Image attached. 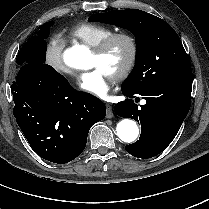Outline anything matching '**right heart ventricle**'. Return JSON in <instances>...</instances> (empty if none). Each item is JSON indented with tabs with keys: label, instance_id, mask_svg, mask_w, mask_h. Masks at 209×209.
Returning <instances> with one entry per match:
<instances>
[{
	"label": "right heart ventricle",
	"instance_id": "right-heart-ventricle-1",
	"mask_svg": "<svg viewBox=\"0 0 209 209\" xmlns=\"http://www.w3.org/2000/svg\"><path fill=\"white\" fill-rule=\"evenodd\" d=\"M70 37H73L80 42L94 48L103 40L114 33L111 27L92 22H83L67 32Z\"/></svg>",
	"mask_w": 209,
	"mask_h": 209
}]
</instances>
